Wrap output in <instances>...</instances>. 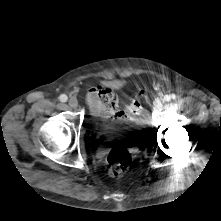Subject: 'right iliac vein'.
Returning a JSON list of instances; mask_svg holds the SVG:
<instances>
[{"mask_svg": "<svg viewBox=\"0 0 221 221\" xmlns=\"http://www.w3.org/2000/svg\"><path fill=\"white\" fill-rule=\"evenodd\" d=\"M68 104L70 107L76 108L78 106V101L76 98H71L69 99Z\"/></svg>", "mask_w": 221, "mask_h": 221, "instance_id": "right-iliac-vein-1", "label": "right iliac vein"}]
</instances>
